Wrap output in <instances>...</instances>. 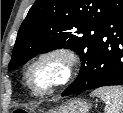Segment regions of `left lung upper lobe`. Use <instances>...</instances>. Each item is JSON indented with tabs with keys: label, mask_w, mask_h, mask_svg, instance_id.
Here are the masks:
<instances>
[{
	"label": "left lung upper lobe",
	"mask_w": 123,
	"mask_h": 113,
	"mask_svg": "<svg viewBox=\"0 0 123 113\" xmlns=\"http://www.w3.org/2000/svg\"><path fill=\"white\" fill-rule=\"evenodd\" d=\"M111 3L112 0H36L18 31L8 69L40 53L70 48L80 55L82 67L69 87L79 83L91 63Z\"/></svg>",
	"instance_id": "1"
}]
</instances>
